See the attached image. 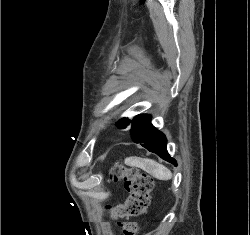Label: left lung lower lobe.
<instances>
[{
    "mask_svg": "<svg viewBox=\"0 0 250 235\" xmlns=\"http://www.w3.org/2000/svg\"><path fill=\"white\" fill-rule=\"evenodd\" d=\"M129 125L132 126L131 133L136 143H142L141 145L150 152L156 153L161 158L175 166L177 165L176 161L168 154L165 135L151 124L150 115H138L133 121L130 120Z\"/></svg>",
    "mask_w": 250,
    "mask_h": 235,
    "instance_id": "0a47b994",
    "label": "left lung lower lobe"
}]
</instances>
